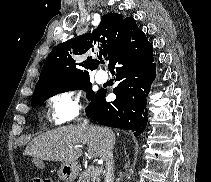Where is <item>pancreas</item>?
Masks as SVG:
<instances>
[{"label": "pancreas", "mask_w": 211, "mask_h": 182, "mask_svg": "<svg viewBox=\"0 0 211 182\" xmlns=\"http://www.w3.org/2000/svg\"><path fill=\"white\" fill-rule=\"evenodd\" d=\"M98 169L94 166L88 167L79 175L77 182H100L101 169L97 172Z\"/></svg>", "instance_id": "cf45deb5"}]
</instances>
